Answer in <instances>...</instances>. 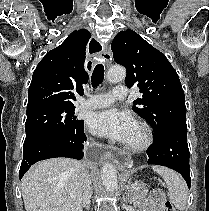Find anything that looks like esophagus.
<instances>
[{
  "mask_svg": "<svg viewBox=\"0 0 209 211\" xmlns=\"http://www.w3.org/2000/svg\"><path fill=\"white\" fill-rule=\"evenodd\" d=\"M89 48L91 52H88V57H97L98 61L103 62L105 65H110L112 56L108 45H101L92 39ZM118 147H102V144H87L86 159L88 163H102L104 156H109L106 160L108 163H119L120 171H125V167H128L125 156H129V151H118Z\"/></svg>",
  "mask_w": 209,
  "mask_h": 211,
  "instance_id": "34e87169",
  "label": "esophagus"
}]
</instances>
